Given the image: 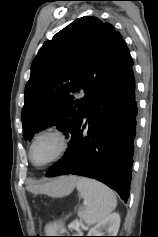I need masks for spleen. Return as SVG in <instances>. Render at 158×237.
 Wrapping results in <instances>:
<instances>
[{
	"instance_id": "1",
	"label": "spleen",
	"mask_w": 158,
	"mask_h": 237,
	"mask_svg": "<svg viewBox=\"0 0 158 237\" xmlns=\"http://www.w3.org/2000/svg\"><path fill=\"white\" fill-rule=\"evenodd\" d=\"M76 188L84 199L85 206L80 208L79 214L87 225L91 226L101 222L117 205L114 192L97 180L79 177L76 181ZM62 228V222H54L48 224L45 231L49 235H55Z\"/></svg>"
}]
</instances>
